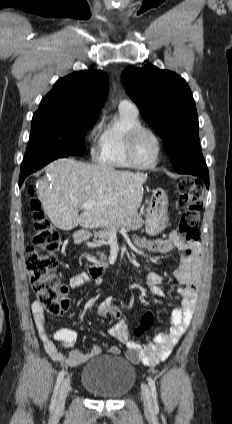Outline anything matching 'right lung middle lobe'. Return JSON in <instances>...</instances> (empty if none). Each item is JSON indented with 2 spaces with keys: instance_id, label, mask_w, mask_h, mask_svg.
Wrapping results in <instances>:
<instances>
[{
  "instance_id": "right-lung-middle-lobe-1",
  "label": "right lung middle lobe",
  "mask_w": 232,
  "mask_h": 424,
  "mask_svg": "<svg viewBox=\"0 0 232 424\" xmlns=\"http://www.w3.org/2000/svg\"><path fill=\"white\" fill-rule=\"evenodd\" d=\"M98 117L73 108L37 110L22 166L53 154L82 155L85 133Z\"/></svg>"
}]
</instances>
